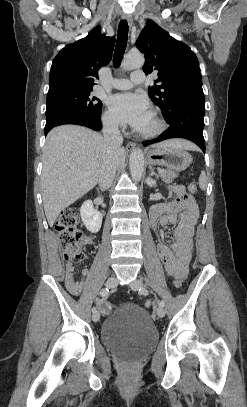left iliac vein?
Here are the masks:
<instances>
[{"mask_svg":"<svg viewBox=\"0 0 247 407\" xmlns=\"http://www.w3.org/2000/svg\"><path fill=\"white\" fill-rule=\"evenodd\" d=\"M142 286L143 282L140 279H136L134 282L130 283V288L133 291H140ZM156 312L159 318H163L165 316V310L162 307H159Z\"/></svg>","mask_w":247,"mask_h":407,"instance_id":"4c4485c4","label":"left iliac vein"}]
</instances>
